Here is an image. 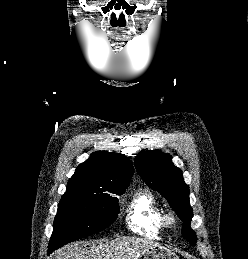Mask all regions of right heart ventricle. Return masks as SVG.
Wrapping results in <instances>:
<instances>
[{
    "mask_svg": "<svg viewBox=\"0 0 248 259\" xmlns=\"http://www.w3.org/2000/svg\"><path fill=\"white\" fill-rule=\"evenodd\" d=\"M126 212V224L135 233L157 237L167 227L163 207L147 189H141L132 196Z\"/></svg>",
    "mask_w": 248,
    "mask_h": 259,
    "instance_id": "obj_1",
    "label": "right heart ventricle"
}]
</instances>
